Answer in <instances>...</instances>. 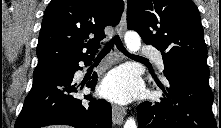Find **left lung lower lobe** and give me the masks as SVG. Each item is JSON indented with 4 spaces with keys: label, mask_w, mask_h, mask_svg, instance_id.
<instances>
[{
    "label": "left lung lower lobe",
    "mask_w": 221,
    "mask_h": 128,
    "mask_svg": "<svg viewBox=\"0 0 221 128\" xmlns=\"http://www.w3.org/2000/svg\"><path fill=\"white\" fill-rule=\"evenodd\" d=\"M169 87L164 98L138 106V128H217L209 73L164 64ZM158 86L164 90L161 83Z\"/></svg>",
    "instance_id": "left-lung-lower-lobe-1"
}]
</instances>
